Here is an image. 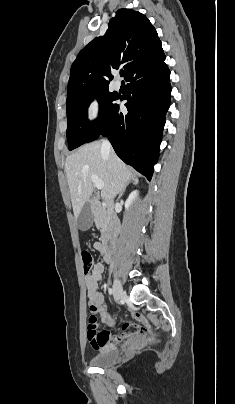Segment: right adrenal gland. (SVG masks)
<instances>
[{"mask_svg":"<svg viewBox=\"0 0 235 404\" xmlns=\"http://www.w3.org/2000/svg\"><path fill=\"white\" fill-rule=\"evenodd\" d=\"M138 182H139L138 178H136V177H133V178H132V181H131L132 184L137 185ZM124 192H125V188L121 191L119 197H121Z\"/></svg>","mask_w":235,"mask_h":404,"instance_id":"right-adrenal-gland-1","label":"right adrenal gland"}]
</instances>
